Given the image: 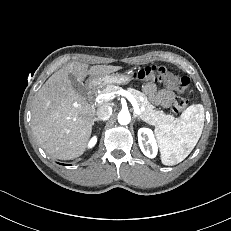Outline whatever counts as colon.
Instances as JSON below:
<instances>
[{"label": "colon", "instance_id": "obj_1", "mask_svg": "<svg viewBox=\"0 0 231 231\" xmlns=\"http://www.w3.org/2000/svg\"><path fill=\"white\" fill-rule=\"evenodd\" d=\"M133 77L138 80L162 81L178 92H184L190 83L188 77H179L163 64L150 65L133 72ZM188 105L187 99L177 97L174 101L172 111L181 113Z\"/></svg>", "mask_w": 231, "mask_h": 231}]
</instances>
